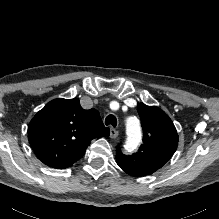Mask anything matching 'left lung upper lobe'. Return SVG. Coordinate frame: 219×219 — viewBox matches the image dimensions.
<instances>
[{"label": "left lung upper lobe", "mask_w": 219, "mask_h": 219, "mask_svg": "<svg viewBox=\"0 0 219 219\" xmlns=\"http://www.w3.org/2000/svg\"><path fill=\"white\" fill-rule=\"evenodd\" d=\"M143 128V144L133 155L116 151V161L131 176L144 177L158 171L175 153L178 145L176 128L168 115L156 106L138 105Z\"/></svg>", "instance_id": "left-lung-upper-lobe-1"}]
</instances>
